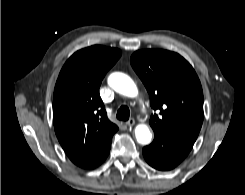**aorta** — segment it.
Instances as JSON below:
<instances>
[{
  "label": "aorta",
  "mask_w": 245,
  "mask_h": 195,
  "mask_svg": "<svg viewBox=\"0 0 245 195\" xmlns=\"http://www.w3.org/2000/svg\"><path fill=\"white\" fill-rule=\"evenodd\" d=\"M108 84L117 93H120L122 95L128 97H135L138 94V90L135 83L128 75L124 73H112L108 77ZM135 137L138 143L146 145L151 142L152 134L146 125L139 124L135 128Z\"/></svg>",
  "instance_id": "1"
}]
</instances>
